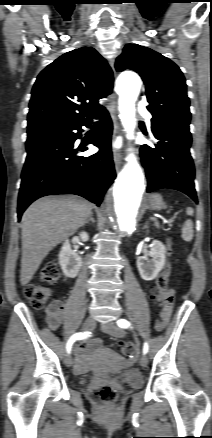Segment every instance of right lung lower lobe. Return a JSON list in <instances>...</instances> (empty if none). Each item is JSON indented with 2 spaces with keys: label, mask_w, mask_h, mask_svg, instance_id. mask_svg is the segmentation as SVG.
Here are the masks:
<instances>
[{
  "label": "right lung lower lobe",
  "mask_w": 212,
  "mask_h": 438,
  "mask_svg": "<svg viewBox=\"0 0 212 438\" xmlns=\"http://www.w3.org/2000/svg\"><path fill=\"white\" fill-rule=\"evenodd\" d=\"M101 126L90 143L99 147L89 157L77 155L87 148H74L81 137V126H89L92 119L80 123L53 122L28 129L27 158L22 171L18 197V219L36 199L46 195L76 194L99 206L116 173L112 160V122L104 109L100 113ZM78 130V132H74Z\"/></svg>",
  "instance_id": "98d812e1"
}]
</instances>
